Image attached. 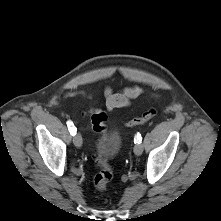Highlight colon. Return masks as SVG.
Listing matches in <instances>:
<instances>
[{"instance_id":"obj_1","label":"colon","mask_w":221,"mask_h":221,"mask_svg":"<svg viewBox=\"0 0 221 221\" xmlns=\"http://www.w3.org/2000/svg\"><path fill=\"white\" fill-rule=\"evenodd\" d=\"M157 115L154 108L148 109L141 116L130 120L126 125L133 127L145 123ZM93 130L100 135L107 131V115L102 110H94L90 114ZM94 161L99 166V172L95 175L93 183L97 190L105 191L113 178V170L110 164L99 154H94Z\"/></svg>"}]
</instances>
